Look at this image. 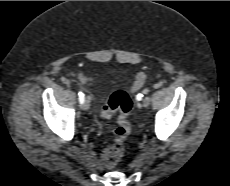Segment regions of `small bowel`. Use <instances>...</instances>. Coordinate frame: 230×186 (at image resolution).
<instances>
[{"label":"small bowel","instance_id":"1","mask_svg":"<svg viewBox=\"0 0 230 186\" xmlns=\"http://www.w3.org/2000/svg\"><path fill=\"white\" fill-rule=\"evenodd\" d=\"M71 75L73 77H76L79 80V82L82 83V84H89L91 82V80H92L91 77L86 76L81 71L73 72ZM132 90L135 91V90H138V89H133L132 88Z\"/></svg>","mask_w":230,"mask_h":186}]
</instances>
